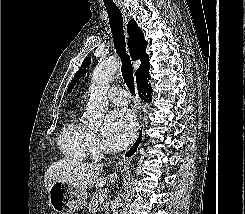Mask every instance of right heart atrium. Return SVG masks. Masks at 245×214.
Here are the masks:
<instances>
[{
  "mask_svg": "<svg viewBox=\"0 0 245 214\" xmlns=\"http://www.w3.org/2000/svg\"><path fill=\"white\" fill-rule=\"evenodd\" d=\"M100 141L94 133H89L88 136V149L93 156H97L100 153Z\"/></svg>",
  "mask_w": 245,
  "mask_h": 214,
  "instance_id": "obj_1",
  "label": "right heart atrium"
}]
</instances>
